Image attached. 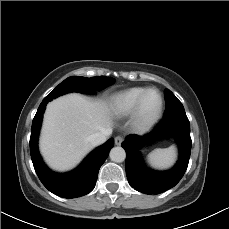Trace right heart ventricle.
<instances>
[{
    "label": "right heart ventricle",
    "instance_id": "1",
    "mask_svg": "<svg viewBox=\"0 0 229 229\" xmlns=\"http://www.w3.org/2000/svg\"><path fill=\"white\" fill-rule=\"evenodd\" d=\"M147 89L132 87L112 95L108 101L109 111L112 115L120 118L131 115L139 98Z\"/></svg>",
    "mask_w": 229,
    "mask_h": 229
}]
</instances>
